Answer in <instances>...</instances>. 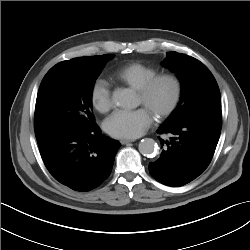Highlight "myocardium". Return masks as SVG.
Segmentation results:
<instances>
[{
	"mask_svg": "<svg viewBox=\"0 0 250 250\" xmlns=\"http://www.w3.org/2000/svg\"><path fill=\"white\" fill-rule=\"evenodd\" d=\"M161 82L170 83L173 88V94L169 103L155 115L159 120L170 116L178 107L183 95V84L180 78L171 73L156 74L148 79L139 89H137L141 98L146 100L154 88Z\"/></svg>",
	"mask_w": 250,
	"mask_h": 250,
	"instance_id": "myocardium-1",
	"label": "myocardium"
}]
</instances>
